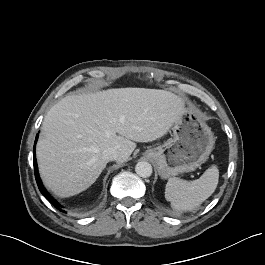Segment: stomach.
<instances>
[{"mask_svg":"<svg viewBox=\"0 0 265 265\" xmlns=\"http://www.w3.org/2000/svg\"><path fill=\"white\" fill-rule=\"evenodd\" d=\"M173 136L163 145L145 151L161 178L167 179L196 170L204 163L215 144L211 128L194 111L185 109L172 127Z\"/></svg>","mask_w":265,"mask_h":265,"instance_id":"1","label":"stomach"}]
</instances>
